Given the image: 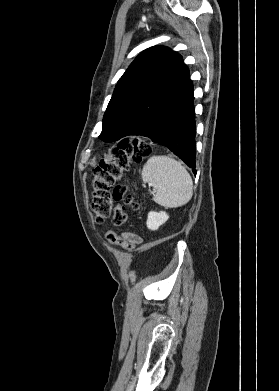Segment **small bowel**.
Instances as JSON below:
<instances>
[{"label": "small bowel", "instance_id": "small-bowel-1", "mask_svg": "<svg viewBox=\"0 0 279 391\" xmlns=\"http://www.w3.org/2000/svg\"><path fill=\"white\" fill-rule=\"evenodd\" d=\"M115 233V232H114ZM117 235L133 242L135 245L141 243L142 239L135 233L132 232H122L121 234L116 233Z\"/></svg>", "mask_w": 279, "mask_h": 391}]
</instances>
